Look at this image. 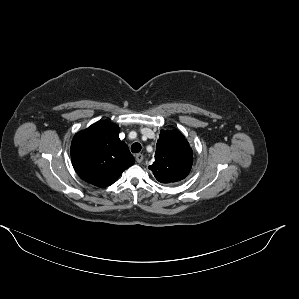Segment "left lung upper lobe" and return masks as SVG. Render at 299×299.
Segmentation results:
<instances>
[{"instance_id":"left-lung-upper-lobe-1","label":"left lung upper lobe","mask_w":299,"mask_h":299,"mask_svg":"<svg viewBox=\"0 0 299 299\" xmlns=\"http://www.w3.org/2000/svg\"><path fill=\"white\" fill-rule=\"evenodd\" d=\"M193 163L192 149L178 131L161 130L156 144L155 162L149 166L161 183H172L186 178Z\"/></svg>"}]
</instances>
